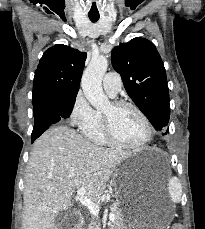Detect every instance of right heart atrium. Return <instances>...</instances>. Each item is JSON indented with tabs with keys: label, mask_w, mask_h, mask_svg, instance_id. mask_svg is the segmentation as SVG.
Segmentation results:
<instances>
[{
	"label": "right heart atrium",
	"mask_w": 205,
	"mask_h": 229,
	"mask_svg": "<svg viewBox=\"0 0 205 229\" xmlns=\"http://www.w3.org/2000/svg\"><path fill=\"white\" fill-rule=\"evenodd\" d=\"M96 119V111L91 107L84 94L79 91L75 95L69 112L71 124L80 130L91 126Z\"/></svg>",
	"instance_id": "d8ad5b80"
}]
</instances>
